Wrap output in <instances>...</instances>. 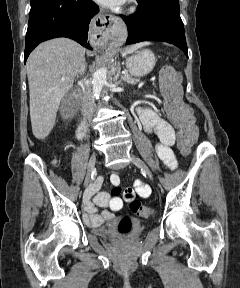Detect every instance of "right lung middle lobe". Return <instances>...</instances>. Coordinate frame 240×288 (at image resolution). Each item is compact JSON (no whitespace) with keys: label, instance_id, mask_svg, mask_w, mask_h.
<instances>
[{"label":"right lung middle lobe","instance_id":"dd1d6c3e","mask_svg":"<svg viewBox=\"0 0 240 288\" xmlns=\"http://www.w3.org/2000/svg\"><path fill=\"white\" fill-rule=\"evenodd\" d=\"M40 0H31V5L36 4L37 2H39Z\"/></svg>","mask_w":240,"mask_h":288}]
</instances>
